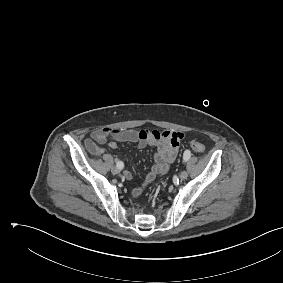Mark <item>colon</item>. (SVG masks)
<instances>
[{
	"label": "colon",
	"mask_w": 283,
	"mask_h": 283,
	"mask_svg": "<svg viewBox=\"0 0 283 283\" xmlns=\"http://www.w3.org/2000/svg\"><path fill=\"white\" fill-rule=\"evenodd\" d=\"M88 147L90 149L91 152L93 153H99L100 152V149L98 147V145L96 144V142H89L88 143ZM190 147L192 148L193 151L197 152V153H205L206 151V147L205 145H203L202 143L196 141V140H192L190 142Z\"/></svg>",
	"instance_id": "5ec220e1"
}]
</instances>
